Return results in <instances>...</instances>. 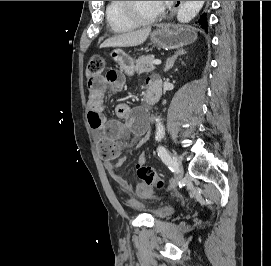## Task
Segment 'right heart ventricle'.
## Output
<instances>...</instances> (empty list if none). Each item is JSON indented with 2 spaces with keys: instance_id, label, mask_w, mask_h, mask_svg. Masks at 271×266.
Returning <instances> with one entry per match:
<instances>
[{
  "instance_id": "1",
  "label": "right heart ventricle",
  "mask_w": 271,
  "mask_h": 266,
  "mask_svg": "<svg viewBox=\"0 0 271 266\" xmlns=\"http://www.w3.org/2000/svg\"><path fill=\"white\" fill-rule=\"evenodd\" d=\"M105 15L108 26L116 33H126L136 27L123 15L121 1H108Z\"/></svg>"
}]
</instances>
